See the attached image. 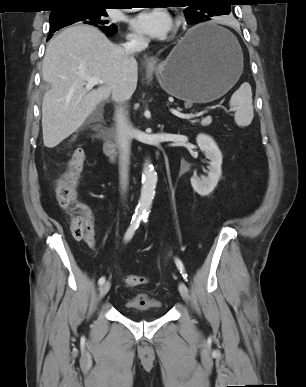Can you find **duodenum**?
I'll list each match as a JSON object with an SVG mask.
<instances>
[{
  "label": "duodenum",
  "instance_id": "1",
  "mask_svg": "<svg viewBox=\"0 0 306 387\" xmlns=\"http://www.w3.org/2000/svg\"><path fill=\"white\" fill-rule=\"evenodd\" d=\"M104 152L109 157L111 161H115L117 157V148L114 139L113 131H109L106 134V139L104 142Z\"/></svg>",
  "mask_w": 306,
  "mask_h": 387
}]
</instances>
